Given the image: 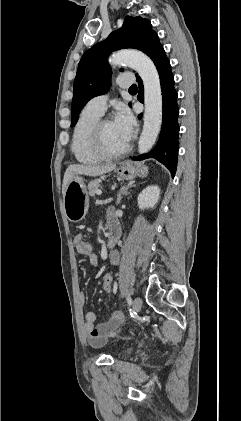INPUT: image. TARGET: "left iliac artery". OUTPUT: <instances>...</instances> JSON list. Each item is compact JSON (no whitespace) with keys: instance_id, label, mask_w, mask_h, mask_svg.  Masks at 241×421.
Masks as SVG:
<instances>
[{"instance_id":"left-iliac-artery-1","label":"left iliac artery","mask_w":241,"mask_h":421,"mask_svg":"<svg viewBox=\"0 0 241 421\" xmlns=\"http://www.w3.org/2000/svg\"><path fill=\"white\" fill-rule=\"evenodd\" d=\"M126 299H127L128 305H131L132 304V300H131L130 296H127Z\"/></svg>"}]
</instances>
